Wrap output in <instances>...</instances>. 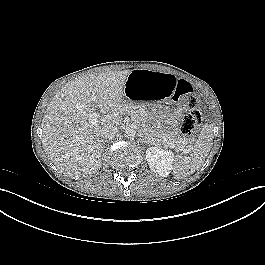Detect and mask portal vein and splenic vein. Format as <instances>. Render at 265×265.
Returning a JSON list of instances; mask_svg holds the SVG:
<instances>
[{"label": "portal vein and splenic vein", "mask_w": 265, "mask_h": 265, "mask_svg": "<svg viewBox=\"0 0 265 265\" xmlns=\"http://www.w3.org/2000/svg\"><path fill=\"white\" fill-rule=\"evenodd\" d=\"M117 116H118V113H114L113 114V117H117ZM107 117H110V116H106L105 118H102L101 121H103L104 119H107ZM99 118H100V114L97 113V112H93L89 116V123L91 125H95L96 126V125H98L100 123ZM168 147L175 148V146L173 144H169Z\"/></svg>", "instance_id": "obj_1"}]
</instances>
